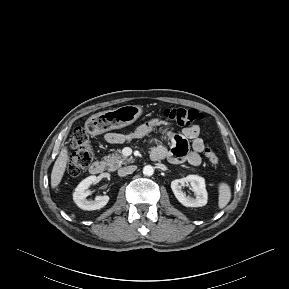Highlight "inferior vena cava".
I'll return each mask as SVG.
<instances>
[{"mask_svg":"<svg viewBox=\"0 0 289 289\" xmlns=\"http://www.w3.org/2000/svg\"><path fill=\"white\" fill-rule=\"evenodd\" d=\"M137 169V166L135 165H131V166H127V167H122L118 170V175L120 177H124L128 174L133 173L135 170Z\"/></svg>","mask_w":289,"mask_h":289,"instance_id":"obj_1","label":"inferior vena cava"}]
</instances>
